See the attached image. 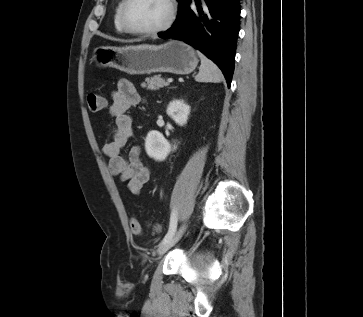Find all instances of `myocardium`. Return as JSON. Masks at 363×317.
Returning a JSON list of instances; mask_svg holds the SVG:
<instances>
[{
    "instance_id": "obj_1",
    "label": "myocardium",
    "mask_w": 363,
    "mask_h": 317,
    "mask_svg": "<svg viewBox=\"0 0 363 317\" xmlns=\"http://www.w3.org/2000/svg\"><path fill=\"white\" fill-rule=\"evenodd\" d=\"M132 0H123L121 9H120V21L121 25L124 28V30L130 34L133 35H139V36H154L161 34L168 30L172 24L174 23V20L176 18L177 13V5L175 0H166V3L168 5V16L166 20L158 27L153 29H135L133 28L127 18V11L129 8V5L131 4Z\"/></svg>"
}]
</instances>
